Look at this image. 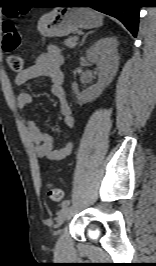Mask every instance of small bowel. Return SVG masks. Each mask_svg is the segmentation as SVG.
I'll return each mask as SVG.
<instances>
[{"label": "small bowel", "instance_id": "c3829d8e", "mask_svg": "<svg viewBox=\"0 0 156 266\" xmlns=\"http://www.w3.org/2000/svg\"><path fill=\"white\" fill-rule=\"evenodd\" d=\"M62 65L63 55L61 50L56 46H49L47 51L40 54L31 66L16 75L15 83L22 86L33 79L47 77L50 80L52 94L60 101V114L65 126L70 129L74 126L75 120L71 107L66 101L67 94L63 87ZM32 100V95L24 90L16 96L19 108H24ZM27 127L38 158L60 161L71 154L73 150L72 142H67L62 147L57 148L55 146L56 138L42 130L36 121H28Z\"/></svg>", "mask_w": 156, "mask_h": 266}]
</instances>
